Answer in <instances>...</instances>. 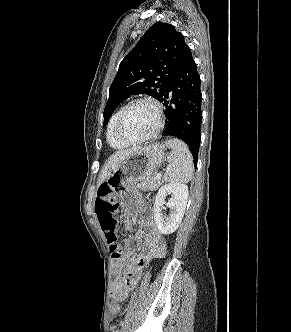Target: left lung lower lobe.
Returning a JSON list of instances; mask_svg holds the SVG:
<instances>
[{
    "mask_svg": "<svg viewBox=\"0 0 291 332\" xmlns=\"http://www.w3.org/2000/svg\"><path fill=\"white\" fill-rule=\"evenodd\" d=\"M166 107L163 136H175L190 147L195 163L201 140L202 95L200 76L191 49L187 46L175 73L159 100Z\"/></svg>",
    "mask_w": 291,
    "mask_h": 332,
    "instance_id": "0a47b994",
    "label": "left lung lower lobe"
}]
</instances>
